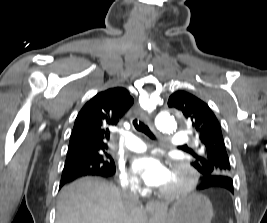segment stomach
<instances>
[{
  "label": "stomach",
  "instance_id": "stomach-1",
  "mask_svg": "<svg viewBox=\"0 0 267 223\" xmlns=\"http://www.w3.org/2000/svg\"><path fill=\"white\" fill-rule=\"evenodd\" d=\"M160 217L162 223H211L213 208L205 195L193 193L178 198Z\"/></svg>",
  "mask_w": 267,
  "mask_h": 223
}]
</instances>
